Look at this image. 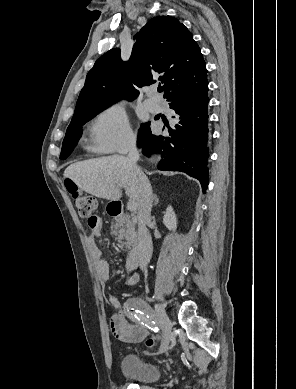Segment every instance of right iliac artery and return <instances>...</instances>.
<instances>
[{
    "mask_svg": "<svg viewBox=\"0 0 296 389\" xmlns=\"http://www.w3.org/2000/svg\"><path fill=\"white\" fill-rule=\"evenodd\" d=\"M127 314L134 321H139L147 328L157 332L158 327L155 321L150 317L151 308L141 299H131L126 304Z\"/></svg>",
    "mask_w": 296,
    "mask_h": 389,
    "instance_id": "82829eb1",
    "label": "right iliac artery"
}]
</instances>
